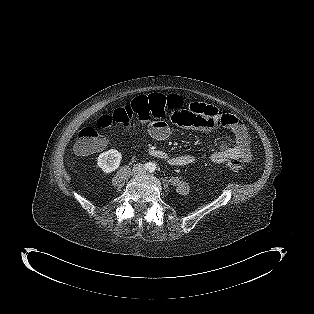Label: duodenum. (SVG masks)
I'll list each match as a JSON object with an SVG mask.
<instances>
[{
    "instance_id": "obj_1",
    "label": "duodenum",
    "mask_w": 314,
    "mask_h": 314,
    "mask_svg": "<svg viewBox=\"0 0 314 314\" xmlns=\"http://www.w3.org/2000/svg\"><path fill=\"white\" fill-rule=\"evenodd\" d=\"M151 154L155 157H158V158H162V159H168L171 161L172 158H170L168 156V154L164 151H161V150H151Z\"/></svg>"
}]
</instances>
